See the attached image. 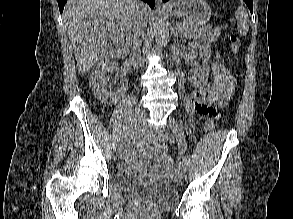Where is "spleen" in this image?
I'll list each match as a JSON object with an SVG mask.
<instances>
[{"mask_svg": "<svg viewBox=\"0 0 293 219\" xmlns=\"http://www.w3.org/2000/svg\"><path fill=\"white\" fill-rule=\"evenodd\" d=\"M237 29L241 35H246L249 30V17L246 9L243 6H239L236 14Z\"/></svg>", "mask_w": 293, "mask_h": 219, "instance_id": "spleen-1", "label": "spleen"}]
</instances>
